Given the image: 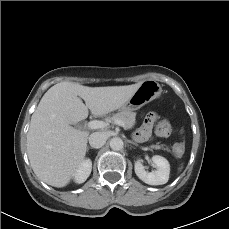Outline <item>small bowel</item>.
<instances>
[{"label": "small bowel", "instance_id": "1", "mask_svg": "<svg viewBox=\"0 0 229 229\" xmlns=\"http://www.w3.org/2000/svg\"><path fill=\"white\" fill-rule=\"evenodd\" d=\"M156 115L154 114H148L146 117H145V121H144V124L143 126L137 131L136 135H137V138L139 140H144L146 139L149 134H150V129L153 125V123L156 121ZM181 146L182 149H184V143L180 142V143H176L174 145V150Z\"/></svg>", "mask_w": 229, "mask_h": 229}]
</instances>
